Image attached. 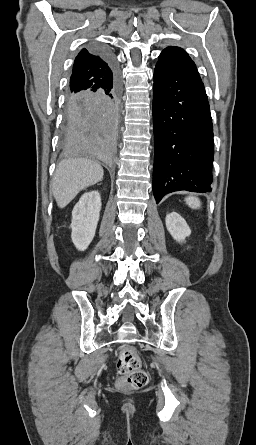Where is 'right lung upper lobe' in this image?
<instances>
[{"mask_svg":"<svg viewBox=\"0 0 256 445\" xmlns=\"http://www.w3.org/2000/svg\"><path fill=\"white\" fill-rule=\"evenodd\" d=\"M111 79V71L101 51L92 47L83 48L75 58L68 96L94 92Z\"/></svg>","mask_w":256,"mask_h":445,"instance_id":"1","label":"right lung upper lobe"}]
</instances>
